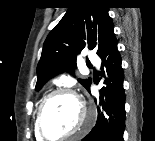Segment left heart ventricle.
<instances>
[{
	"mask_svg": "<svg viewBox=\"0 0 155 141\" xmlns=\"http://www.w3.org/2000/svg\"><path fill=\"white\" fill-rule=\"evenodd\" d=\"M83 112L77 101L68 95H55L47 102L42 114V127L50 138H58L77 128Z\"/></svg>",
	"mask_w": 155,
	"mask_h": 141,
	"instance_id": "left-heart-ventricle-1",
	"label": "left heart ventricle"
}]
</instances>
